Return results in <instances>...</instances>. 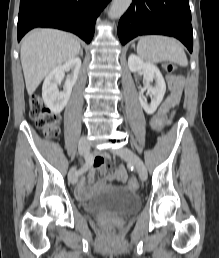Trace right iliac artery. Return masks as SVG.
Returning <instances> with one entry per match:
<instances>
[{"label":"right iliac artery","instance_id":"obj_1","mask_svg":"<svg viewBox=\"0 0 219 258\" xmlns=\"http://www.w3.org/2000/svg\"><path fill=\"white\" fill-rule=\"evenodd\" d=\"M85 161L86 162L83 167L76 171L77 176L87 171L88 168L91 166L92 158L88 154L85 155Z\"/></svg>","mask_w":219,"mask_h":258}]
</instances>
